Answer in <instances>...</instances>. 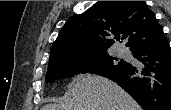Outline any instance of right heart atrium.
<instances>
[{
	"mask_svg": "<svg viewBox=\"0 0 171 110\" xmlns=\"http://www.w3.org/2000/svg\"><path fill=\"white\" fill-rule=\"evenodd\" d=\"M90 75V63L87 60H80L75 68L76 79H86Z\"/></svg>",
	"mask_w": 171,
	"mask_h": 110,
	"instance_id": "right-heart-atrium-1",
	"label": "right heart atrium"
}]
</instances>
